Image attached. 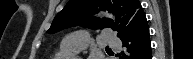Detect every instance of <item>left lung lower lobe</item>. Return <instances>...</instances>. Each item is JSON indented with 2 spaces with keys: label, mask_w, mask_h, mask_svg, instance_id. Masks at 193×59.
I'll return each instance as SVG.
<instances>
[{
  "label": "left lung lower lobe",
  "mask_w": 193,
  "mask_h": 59,
  "mask_svg": "<svg viewBox=\"0 0 193 59\" xmlns=\"http://www.w3.org/2000/svg\"><path fill=\"white\" fill-rule=\"evenodd\" d=\"M119 38L126 47L120 59H152L149 27L144 12L133 17Z\"/></svg>",
  "instance_id": "left-lung-lower-lobe-1"
}]
</instances>
